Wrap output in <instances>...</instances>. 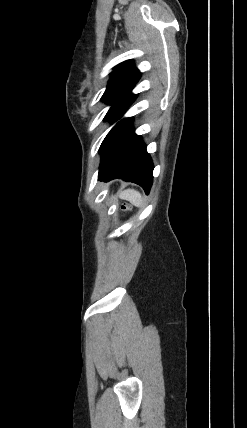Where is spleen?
<instances>
[{
	"instance_id": "obj_1",
	"label": "spleen",
	"mask_w": 247,
	"mask_h": 428,
	"mask_svg": "<svg viewBox=\"0 0 247 428\" xmlns=\"http://www.w3.org/2000/svg\"><path fill=\"white\" fill-rule=\"evenodd\" d=\"M120 197L124 200L129 201L136 207H141L143 203V199L141 194L134 189H127L120 193Z\"/></svg>"
}]
</instances>
